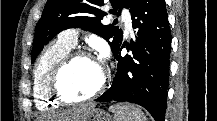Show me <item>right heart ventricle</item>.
Listing matches in <instances>:
<instances>
[{
    "instance_id": "1",
    "label": "right heart ventricle",
    "mask_w": 217,
    "mask_h": 121,
    "mask_svg": "<svg viewBox=\"0 0 217 121\" xmlns=\"http://www.w3.org/2000/svg\"><path fill=\"white\" fill-rule=\"evenodd\" d=\"M73 46L61 38L48 45L38 58L34 68L33 95L36 106L42 110L55 108L58 104L49 92V78L60 60H62Z\"/></svg>"
}]
</instances>
